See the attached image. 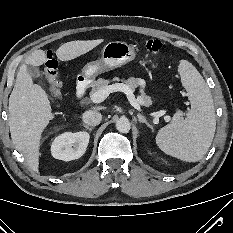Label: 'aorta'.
<instances>
[{
    "label": "aorta",
    "instance_id": "762f6f07",
    "mask_svg": "<svg viewBox=\"0 0 233 233\" xmlns=\"http://www.w3.org/2000/svg\"><path fill=\"white\" fill-rule=\"evenodd\" d=\"M130 127V122L126 117H121L116 121V129L121 133H128Z\"/></svg>",
    "mask_w": 233,
    "mask_h": 233
}]
</instances>
